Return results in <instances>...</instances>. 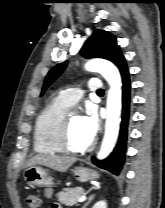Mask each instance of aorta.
Wrapping results in <instances>:
<instances>
[{"mask_svg": "<svg viewBox=\"0 0 165 208\" xmlns=\"http://www.w3.org/2000/svg\"><path fill=\"white\" fill-rule=\"evenodd\" d=\"M85 69L91 72H99L110 85L107 97L105 135L97 154L98 159H104L113 150L119 133L122 96L121 77L117 67L104 59L90 60L86 63Z\"/></svg>", "mask_w": 165, "mask_h": 208, "instance_id": "762f6f07", "label": "aorta"}]
</instances>
